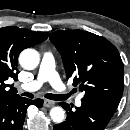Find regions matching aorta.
Wrapping results in <instances>:
<instances>
[{
    "mask_svg": "<svg viewBox=\"0 0 130 130\" xmlns=\"http://www.w3.org/2000/svg\"><path fill=\"white\" fill-rule=\"evenodd\" d=\"M40 61L39 53L34 49H25L19 56L20 65L27 70L35 69ZM50 117L55 123H62L65 119V111L62 107L56 106L50 110Z\"/></svg>",
    "mask_w": 130,
    "mask_h": 130,
    "instance_id": "762f6f07",
    "label": "aorta"
}]
</instances>
